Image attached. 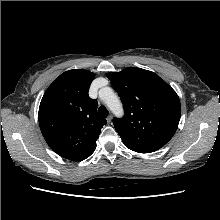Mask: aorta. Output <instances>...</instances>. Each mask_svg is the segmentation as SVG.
Here are the masks:
<instances>
[{
    "mask_svg": "<svg viewBox=\"0 0 220 220\" xmlns=\"http://www.w3.org/2000/svg\"><path fill=\"white\" fill-rule=\"evenodd\" d=\"M103 93L107 94V97L103 98ZM99 96L104 99L110 110L116 115L121 116L123 114L122 104L119 98L113 93L109 87L103 88L99 91Z\"/></svg>",
    "mask_w": 220,
    "mask_h": 220,
    "instance_id": "1",
    "label": "aorta"
}]
</instances>
